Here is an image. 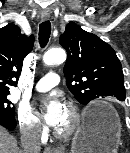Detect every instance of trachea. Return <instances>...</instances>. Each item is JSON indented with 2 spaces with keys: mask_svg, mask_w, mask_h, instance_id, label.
<instances>
[{
  "mask_svg": "<svg viewBox=\"0 0 130 153\" xmlns=\"http://www.w3.org/2000/svg\"><path fill=\"white\" fill-rule=\"evenodd\" d=\"M51 34V23L49 20L42 22L39 25V43L43 48L49 41Z\"/></svg>",
  "mask_w": 130,
  "mask_h": 153,
  "instance_id": "obj_1",
  "label": "trachea"
}]
</instances>
